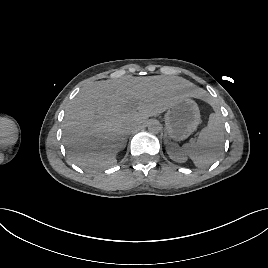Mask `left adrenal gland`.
Instances as JSON below:
<instances>
[{
    "instance_id": "left-adrenal-gland-1",
    "label": "left adrenal gland",
    "mask_w": 268,
    "mask_h": 268,
    "mask_svg": "<svg viewBox=\"0 0 268 268\" xmlns=\"http://www.w3.org/2000/svg\"><path fill=\"white\" fill-rule=\"evenodd\" d=\"M166 137H167V135L165 134V139H166ZM165 143H166V141H165Z\"/></svg>"
}]
</instances>
